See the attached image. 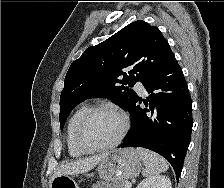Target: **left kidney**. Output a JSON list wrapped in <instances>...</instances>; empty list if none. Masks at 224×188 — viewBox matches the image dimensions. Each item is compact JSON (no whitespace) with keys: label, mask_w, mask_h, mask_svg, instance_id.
<instances>
[{"label":"left kidney","mask_w":224,"mask_h":188,"mask_svg":"<svg viewBox=\"0 0 224 188\" xmlns=\"http://www.w3.org/2000/svg\"><path fill=\"white\" fill-rule=\"evenodd\" d=\"M136 188H172V184L169 177L156 175L142 180Z\"/></svg>","instance_id":"1"}]
</instances>
